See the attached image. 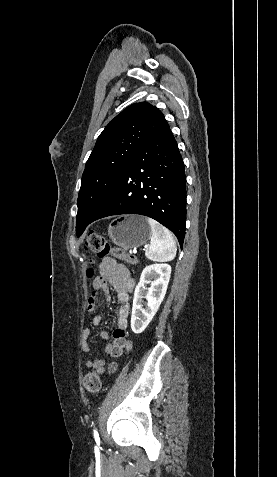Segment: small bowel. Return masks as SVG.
<instances>
[{"label": "small bowel", "mask_w": 277, "mask_h": 477, "mask_svg": "<svg viewBox=\"0 0 277 477\" xmlns=\"http://www.w3.org/2000/svg\"><path fill=\"white\" fill-rule=\"evenodd\" d=\"M101 276L95 281V289L88 298L87 306L91 312H94L96 303L98 300V293L102 291L106 299L109 300L108 284L113 287L117 293L119 302L121 303L117 318L116 328L113 331V339L110 340V335L107 331L102 330L100 337L107 341L105 345V352L111 357L120 356L124 350L131 349V342L128 339V316L130 312V306L128 304L129 295L135 287V279L130 275L129 271L124 265L118 264L113 258L105 257L100 264ZM101 322V316L95 315L93 319L94 325H99ZM91 336V330L85 329L82 334L81 346L82 350L86 353L91 351L89 344V338ZM87 368H92L99 374L104 372L113 373L116 371L118 365L116 362H111L107 366L106 359H88L85 362Z\"/></svg>", "instance_id": "1"}]
</instances>
